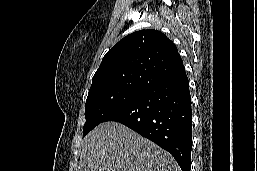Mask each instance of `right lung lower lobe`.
Instances as JSON below:
<instances>
[{"instance_id": "1", "label": "right lung lower lobe", "mask_w": 257, "mask_h": 171, "mask_svg": "<svg viewBox=\"0 0 257 171\" xmlns=\"http://www.w3.org/2000/svg\"><path fill=\"white\" fill-rule=\"evenodd\" d=\"M105 121L122 123L150 139L170 152L182 171H190L192 110L185 68L147 87Z\"/></svg>"}]
</instances>
